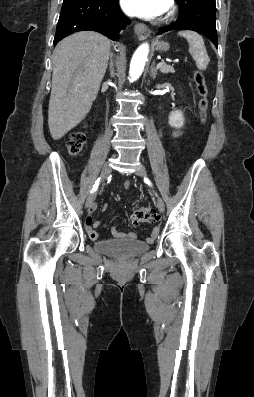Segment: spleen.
Returning a JSON list of instances; mask_svg holds the SVG:
<instances>
[{"mask_svg": "<svg viewBox=\"0 0 254 397\" xmlns=\"http://www.w3.org/2000/svg\"><path fill=\"white\" fill-rule=\"evenodd\" d=\"M179 36L184 37L189 44V52L200 70H206L210 62L203 38L194 31L184 30L178 32Z\"/></svg>", "mask_w": 254, "mask_h": 397, "instance_id": "1", "label": "spleen"}]
</instances>
